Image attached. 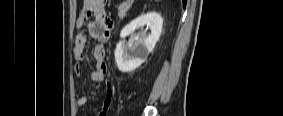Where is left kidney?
Masks as SVG:
<instances>
[{
	"instance_id": "5707ae66",
	"label": "left kidney",
	"mask_w": 283,
	"mask_h": 116,
	"mask_svg": "<svg viewBox=\"0 0 283 116\" xmlns=\"http://www.w3.org/2000/svg\"><path fill=\"white\" fill-rule=\"evenodd\" d=\"M144 25L149 26L151 29V33L147 37L137 36L134 42L129 45H124V41L121 40L116 45L115 61L121 72H131L144 63L159 40L163 19L154 11L132 20L121 30L120 37L125 38L133 34L137 28Z\"/></svg>"
}]
</instances>
